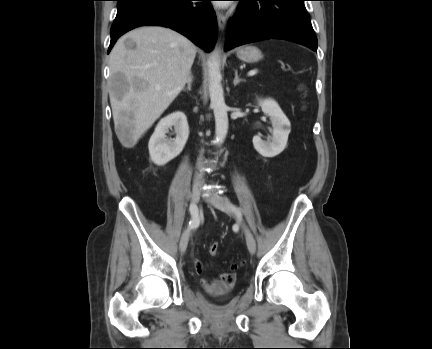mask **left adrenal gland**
Segmentation results:
<instances>
[{
	"mask_svg": "<svg viewBox=\"0 0 432 349\" xmlns=\"http://www.w3.org/2000/svg\"><path fill=\"white\" fill-rule=\"evenodd\" d=\"M243 81H244V79H240V78L238 77V72H237V70H235V78H234V81H233L234 86L238 85L240 82H243Z\"/></svg>",
	"mask_w": 432,
	"mask_h": 349,
	"instance_id": "obj_1",
	"label": "left adrenal gland"
}]
</instances>
